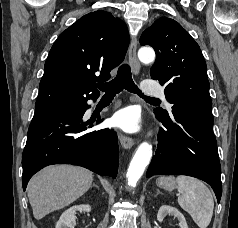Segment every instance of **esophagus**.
<instances>
[{"instance_id":"obj_1","label":"esophagus","mask_w":238,"mask_h":228,"mask_svg":"<svg viewBox=\"0 0 238 228\" xmlns=\"http://www.w3.org/2000/svg\"><path fill=\"white\" fill-rule=\"evenodd\" d=\"M136 51H137V39L133 38L131 40L129 50H128V59H129V63L131 65L132 71L136 75H138L140 72V63L137 59ZM119 140L122 147L125 149H130L134 143V140L131 137L126 136L124 134L119 135Z\"/></svg>"}]
</instances>
